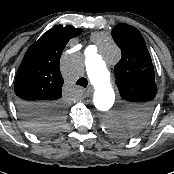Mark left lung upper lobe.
<instances>
[{
  "mask_svg": "<svg viewBox=\"0 0 174 174\" xmlns=\"http://www.w3.org/2000/svg\"><path fill=\"white\" fill-rule=\"evenodd\" d=\"M112 37L122 53L114 68L116 84L123 99L130 102V114L111 124L110 130L128 138L148 122L155 105L157 87L154 66L141 33L133 26L120 23Z\"/></svg>",
  "mask_w": 174,
  "mask_h": 174,
  "instance_id": "1",
  "label": "left lung upper lobe"
}]
</instances>
